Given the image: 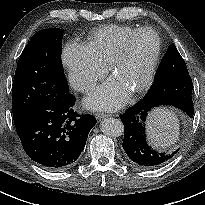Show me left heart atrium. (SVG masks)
<instances>
[{
	"instance_id": "obj_1",
	"label": "left heart atrium",
	"mask_w": 205,
	"mask_h": 205,
	"mask_svg": "<svg viewBox=\"0 0 205 205\" xmlns=\"http://www.w3.org/2000/svg\"><path fill=\"white\" fill-rule=\"evenodd\" d=\"M130 90L115 77L110 78L98 87L86 100L89 108L113 110L123 105L128 99Z\"/></svg>"
}]
</instances>
